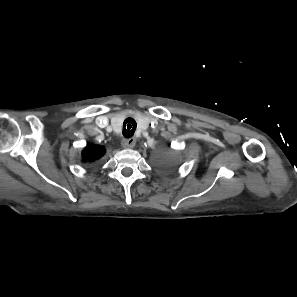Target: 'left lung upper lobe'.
Instances as JSON below:
<instances>
[{
  "label": "left lung upper lobe",
  "instance_id": "left-lung-upper-lobe-1",
  "mask_svg": "<svg viewBox=\"0 0 297 297\" xmlns=\"http://www.w3.org/2000/svg\"><path fill=\"white\" fill-rule=\"evenodd\" d=\"M157 163L159 165H162V166H165V165H168L169 164V162L167 160H164L162 158H158Z\"/></svg>",
  "mask_w": 297,
  "mask_h": 297
}]
</instances>
